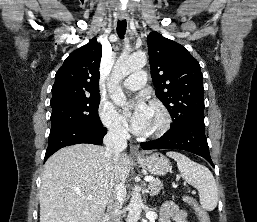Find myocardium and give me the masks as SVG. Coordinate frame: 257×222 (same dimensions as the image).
I'll return each mask as SVG.
<instances>
[{
    "label": "myocardium",
    "mask_w": 257,
    "mask_h": 222,
    "mask_svg": "<svg viewBox=\"0 0 257 222\" xmlns=\"http://www.w3.org/2000/svg\"><path fill=\"white\" fill-rule=\"evenodd\" d=\"M151 107L158 113V120L156 125L147 131V137H160L164 135L171 124V115L168 108L159 100H153Z\"/></svg>",
    "instance_id": "1"
}]
</instances>
